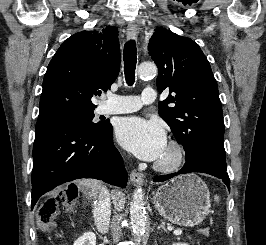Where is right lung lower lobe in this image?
I'll use <instances>...</instances> for the list:
<instances>
[{"mask_svg": "<svg viewBox=\"0 0 266 245\" xmlns=\"http://www.w3.org/2000/svg\"><path fill=\"white\" fill-rule=\"evenodd\" d=\"M97 129L75 121H59L36 131L33 145L32 202L67 181L96 178L126 187L127 173L113 144V127L101 122Z\"/></svg>", "mask_w": 266, "mask_h": 245, "instance_id": "right-lung-lower-lobe-1", "label": "right lung lower lobe"}]
</instances>
